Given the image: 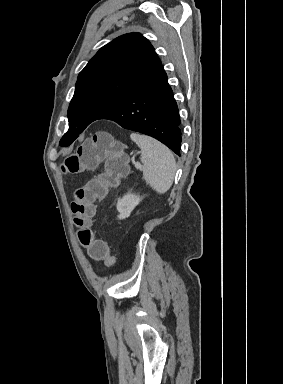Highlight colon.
Segmentation results:
<instances>
[{
  "mask_svg": "<svg viewBox=\"0 0 283 384\" xmlns=\"http://www.w3.org/2000/svg\"><path fill=\"white\" fill-rule=\"evenodd\" d=\"M101 163L104 164L103 171L75 189L71 208L80 243L93 259L113 266L115 257L104 241L94 238L91 223L95 215V203L104 198L108 190L115 187L129 171L121 146L109 134L95 132L66 157L62 170L67 174H78L94 169Z\"/></svg>",
  "mask_w": 283,
  "mask_h": 384,
  "instance_id": "1",
  "label": "colon"
}]
</instances>
